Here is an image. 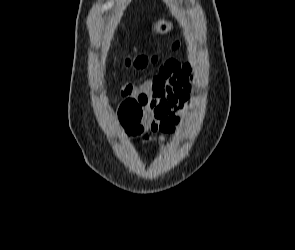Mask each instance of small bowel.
<instances>
[{
    "mask_svg": "<svg viewBox=\"0 0 295 250\" xmlns=\"http://www.w3.org/2000/svg\"><path fill=\"white\" fill-rule=\"evenodd\" d=\"M193 91L190 64L175 59L167 60L156 76L139 84H126L121 89L124 99L137 100L143 109L141 123L127 130L129 137L160 133L164 141L167 135L177 132L185 119V110Z\"/></svg>",
    "mask_w": 295,
    "mask_h": 250,
    "instance_id": "c3829d8e",
    "label": "small bowel"
}]
</instances>
